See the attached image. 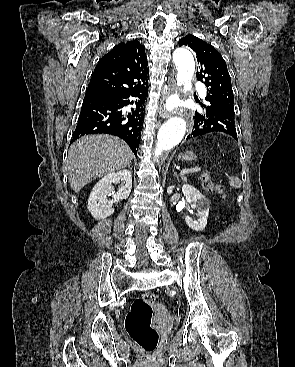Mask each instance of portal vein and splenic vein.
Returning a JSON list of instances; mask_svg holds the SVG:
<instances>
[{
  "label": "portal vein and splenic vein",
  "mask_w": 295,
  "mask_h": 367,
  "mask_svg": "<svg viewBox=\"0 0 295 367\" xmlns=\"http://www.w3.org/2000/svg\"><path fill=\"white\" fill-rule=\"evenodd\" d=\"M200 170L201 169L198 168V167L191 168V169H183V170L180 171V175L184 176V175H187V174H190V173L199 172Z\"/></svg>",
  "instance_id": "obj_1"
}]
</instances>
